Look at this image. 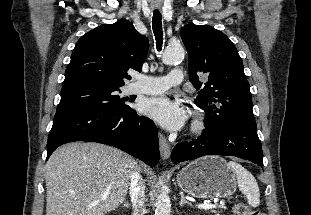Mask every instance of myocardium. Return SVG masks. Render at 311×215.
I'll return each instance as SVG.
<instances>
[{"mask_svg":"<svg viewBox=\"0 0 311 215\" xmlns=\"http://www.w3.org/2000/svg\"><path fill=\"white\" fill-rule=\"evenodd\" d=\"M206 127V118L202 112H195L191 124V133L194 135L201 134Z\"/></svg>","mask_w":311,"mask_h":215,"instance_id":"myocardium-1","label":"myocardium"}]
</instances>
